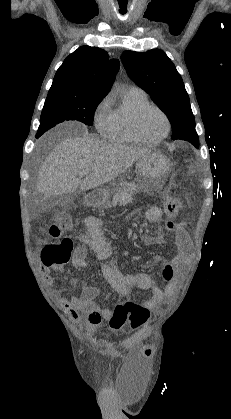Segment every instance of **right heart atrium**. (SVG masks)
Listing matches in <instances>:
<instances>
[{
  "instance_id": "1",
  "label": "right heart atrium",
  "mask_w": 231,
  "mask_h": 419,
  "mask_svg": "<svg viewBox=\"0 0 231 419\" xmlns=\"http://www.w3.org/2000/svg\"><path fill=\"white\" fill-rule=\"evenodd\" d=\"M94 123L98 132L109 138L114 129V111L110 95L105 96L96 106L94 111Z\"/></svg>"
}]
</instances>
